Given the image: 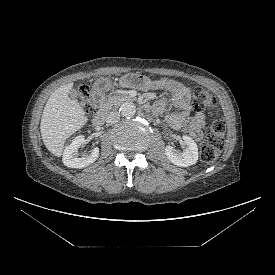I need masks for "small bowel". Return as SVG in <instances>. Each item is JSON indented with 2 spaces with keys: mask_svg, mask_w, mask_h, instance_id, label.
<instances>
[{
  "mask_svg": "<svg viewBox=\"0 0 275 275\" xmlns=\"http://www.w3.org/2000/svg\"><path fill=\"white\" fill-rule=\"evenodd\" d=\"M121 83L126 87L171 93L173 109L167 116V121L172 127L186 131L194 140L202 139L205 115L201 112L191 115V90L181 81L173 78L149 79L137 74H128L121 79ZM167 106V100L160 99L154 103L152 110L160 115L165 112Z\"/></svg>",
  "mask_w": 275,
  "mask_h": 275,
  "instance_id": "obj_1",
  "label": "small bowel"
}]
</instances>
